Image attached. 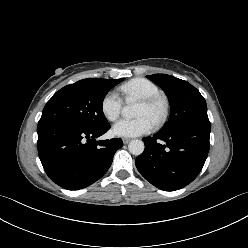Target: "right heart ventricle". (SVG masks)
<instances>
[{"label": "right heart ventricle", "mask_w": 248, "mask_h": 248, "mask_svg": "<svg viewBox=\"0 0 248 248\" xmlns=\"http://www.w3.org/2000/svg\"><path fill=\"white\" fill-rule=\"evenodd\" d=\"M121 94L127 99H144L161 95L159 87L146 78H134L119 87Z\"/></svg>", "instance_id": "1"}]
</instances>
